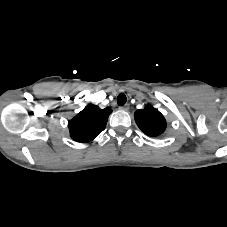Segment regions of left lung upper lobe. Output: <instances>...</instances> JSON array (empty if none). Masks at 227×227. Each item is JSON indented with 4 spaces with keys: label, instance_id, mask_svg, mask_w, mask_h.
Segmentation results:
<instances>
[{
    "label": "left lung upper lobe",
    "instance_id": "left-lung-upper-lobe-1",
    "mask_svg": "<svg viewBox=\"0 0 227 227\" xmlns=\"http://www.w3.org/2000/svg\"><path fill=\"white\" fill-rule=\"evenodd\" d=\"M134 117L138 127L148 136H158L166 129L164 116L151 105L145 106L142 110H137Z\"/></svg>",
    "mask_w": 227,
    "mask_h": 227
}]
</instances>
